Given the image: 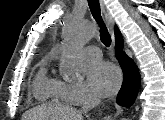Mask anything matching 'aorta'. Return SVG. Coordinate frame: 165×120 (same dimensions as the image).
I'll return each mask as SVG.
<instances>
[{"mask_svg":"<svg viewBox=\"0 0 165 120\" xmlns=\"http://www.w3.org/2000/svg\"><path fill=\"white\" fill-rule=\"evenodd\" d=\"M92 29L76 17L66 20L62 47L61 68L64 74L75 76L85 69L81 55L82 46L92 37Z\"/></svg>","mask_w":165,"mask_h":120,"instance_id":"obj_1","label":"aorta"}]
</instances>
